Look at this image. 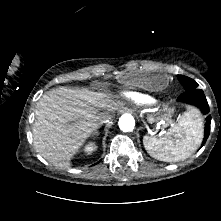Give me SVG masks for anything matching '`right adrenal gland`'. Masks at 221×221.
Segmentation results:
<instances>
[{"label": "right adrenal gland", "mask_w": 221, "mask_h": 221, "mask_svg": "<svg viewBox=\"0 0 221 221\" xmlns=\"http://www.w3.org/2000/svg\"><path fill=\"white\" fill-rule=\"evenodd\" d=\"M93 135L98 136V135H99V132H98V131H95V132L93 133Z\"/></svg>", "instance_id": "right-adrenal-gland-1"}]
</instances>
